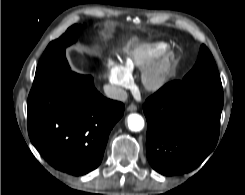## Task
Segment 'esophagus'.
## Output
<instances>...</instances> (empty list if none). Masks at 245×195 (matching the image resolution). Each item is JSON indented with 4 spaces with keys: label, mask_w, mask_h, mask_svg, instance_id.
Wrapping results in <instances>:
<instances>
[{
    "label": "esophagus",
    "mask_w": 245,
    "mask_h": 195,
    "mask_svg": "<svg viewBox=\"0 0 245 195\" xmlns=\"http://www.w3.org/2000/svg\"><path fill=\"white\" fill-rule=\"evenodd\" d=\"M127 110L130 111V112H134L137 110V106L135 104H130L128 107H127Z\"/></svg>",
    "instance_id": "1"
}]
</instances>
